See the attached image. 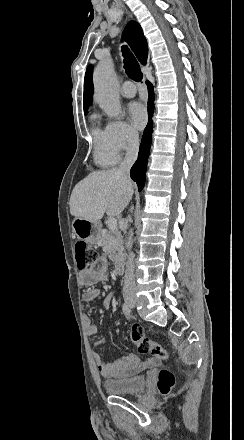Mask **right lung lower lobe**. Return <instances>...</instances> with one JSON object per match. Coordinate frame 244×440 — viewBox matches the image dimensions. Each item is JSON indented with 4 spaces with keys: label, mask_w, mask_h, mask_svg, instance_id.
Segmentation results:
<instances>
[{
    "label": "right lung lower lobe",
    "mask_w": 244,
    "mask_h": 440,
    "mask_svg": "<svg viewBox=\"0 0 244 440\" xmlns=\"http://www.w3.org/2000/svg\"><path fill=\"white\" fill-rule=\"evenodd\" d=\"M148 86L149 98H148V115L149 121L144 130L138 159L131 168L130 175L133 181H135L138 185V190L141 191L144 187L145 177H146V168L148 161V154L151 147V134H152V123L151 117L153 116L154 111V92L153 86L149 81H146Z\"/></svg>",
    "instance_id": "98d812e1"
}]
</instances>
